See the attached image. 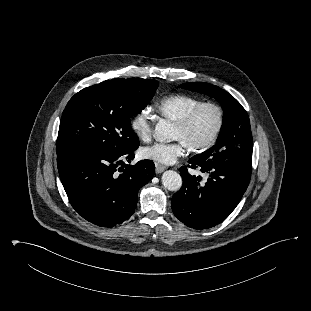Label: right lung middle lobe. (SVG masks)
I'll use <instances>...</instances> for the list:
<instances>
[{
  "label": "right lung middle lobe",
  "instance_id": "dd1d6c3e",
  "mask_svg": "<svg viewBox=\"0 0 311 311\" xmlns=\"http://www.w3.org/2000/svg\"><path fill=\"white\" fill-rule=\"evenodd\" d=\"M159 83L151 79H113L84 88L65 107L57 138V154L87 151L127 154L139 146L130 118L153 98Z\"/></svg>",
  "mask_w": 311,
  "mask_h": 311
}]
</instances>
